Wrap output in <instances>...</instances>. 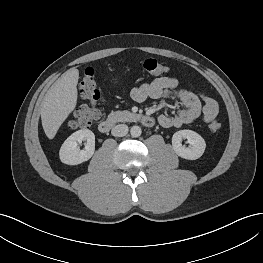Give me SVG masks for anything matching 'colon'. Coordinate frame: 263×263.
I'll list each match as a JSON object with an SVG mask.
<instances>
[{
  "label": "colon",
  "instance_id": "obj_1",
  "mask_svg": "<svg viewBox=\"0 0 263 263\" xmlns=\"http://www.w3.org/2000/svg\"><path fill=\"white\" fill-rule=\"evenodd\" d=\"M144 70L151 76H161L168 72V67L156 59H146L143 62ZM81 96L87 102L84 106L77 108L71 118L70 125L72 127H86L99 119L100 113L97 108L100 99V91L96 83L95 71L92 68H87L84 72L79 85ZM221 124L217 120H211L209 129L212 132H217Z\"/></svg>",
  "mask_w": 263,
  "mask_h": 263
}]
</instances>
